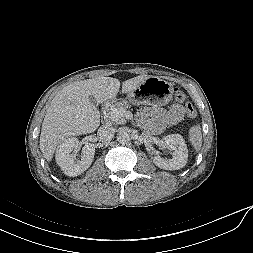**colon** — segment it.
<instances>
[{"label": "colon", "instance_id": "colon-1", "mask_svg": "<svg viewBox=\"0 0 253 253\" xmlns=\"http://www.w3.org/2000/svg\"><path fill=\"white\" fill-rule=\"evenodd\" d=\"M174 95H175V99L178 102L184 104V110H185L187 116L191 119L195 118L197 115V112H196L195 108L193 107V105L189 101H187L185 93L182 90L175 88Z\"/></svg>", "mask_w": 253, "mask_h": 253}]
</instances>
